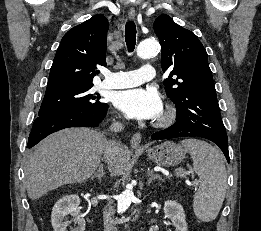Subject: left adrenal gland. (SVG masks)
I'll return each instance as SVG.
<instances>
[{"label":"left adrenal gland","mask_w":261,"mask_h":231,"mask_svg":"<svg viewBox=\"0 0 261 231\" xmlns=\"http://www.w3.org/2000/svg\"><path fill=\"white\" fill-rule=\"evenodd\" d=\"M147 176H148L147 185H150L154 180H157V179L161 180V177L155 175L152 170L148 171Z\"/></svg>","instance_id":"1"}]
</instances>
